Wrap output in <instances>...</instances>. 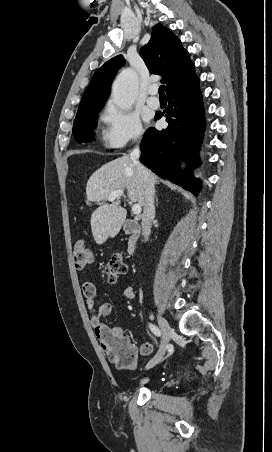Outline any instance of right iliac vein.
Listing matches in <instances>:
<instances>
[{
  "instance_id": "obj_1",
  "label": "right iliac vein",
  "mask_w": 272,
  "mask_h": 452,
  "mask_svg": "<svg viewBox=\"0 0 272 452\" xmlns=\"http://www.w3.org/2000/svg\"><path fill=\"white\" fill-rule=\"evenodd\" d=\"M157 318H158V323H159V326H160L162 334H163L162 335V343H161V347H160L158 353L146 365V369H150L162 361V359L166 353V349H167L168 343L170 341L171 335L173 333V330H172L170 324L167 322V320L165 318H163L160 315H158Z\"/></svg>"
}]
</instances>
